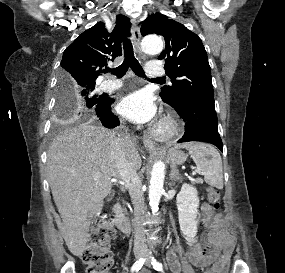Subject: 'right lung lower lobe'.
<instances>
[{
    "instance_id": "98d812e1",
    "label": "right lung lower lobe",
    "mask_w": 285,
    "mask_h": 273,
    "mask_svg": "<svg viewBox=\"0 0 285 273\" xmlns=\"http://www.w3.org/2000/svg\"><path fill=\"white\" fill-rule=\"evenodd\" d=\"M112 103L113 100L110 98H103L96 108V115L100 117L102 124L108 128H114L120 124L118 117L111 112Z\"/></svg>"
}]
</instances>
